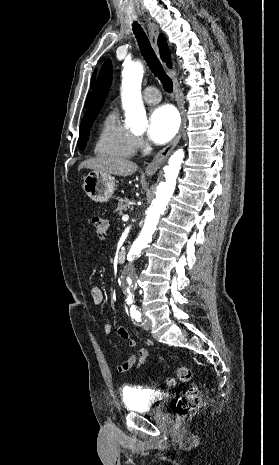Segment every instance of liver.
I'll use <instances>...</instances> for the list:
<instances>
[{
	"label": "liver",
	"mask_w": 279,
	"mask_h": 465,
	"mask_svg": "<svg viewBox=\"0 0 279 465\" xmlns=\"http://www.w3.org/2000/svg\"><path fill=\"white\" fill-rule=\"evenodd\" d=\"M83 168L92 169L103 174L126 177L135 173L138 169V165L123 158L100 156L83 161L78 169L80 170Z\"/></svg>",
	"instance_id": "1"
}]
</instances>
